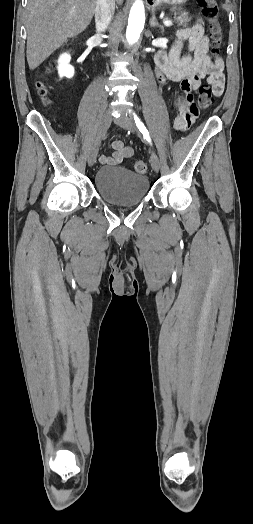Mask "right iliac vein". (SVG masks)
<instances>
[{"label": "right iliac vein", "mask_w": 253, "mask_h": 524, "mask_svg": "<svg viewBox=\"0 0 253 524\" xmlns=\"http://www.w3.org/2000/svg\"><path fill=\"white\" fill-rule=\"evenodd\" d=\"M111 121H112L111 114L109 112H105L102 115L100 123H99L97 137H96V139H95V141H94V143H93V145H92V147H91V149L89 151V154H88V164H89V166H92L95 163V161H96L101 138L103 137V135L106 133V131L110 127Z\"/></svg>", "instance_id": "63e3f726"}]
</instances>
